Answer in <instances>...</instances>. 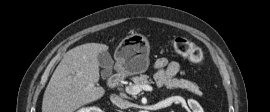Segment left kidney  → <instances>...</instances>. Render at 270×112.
Returning <instances> with one entry per match:
<instances>
[{
  "label": "left kidney",
  "mask_w": 270,
  "mask_h": 112,
  "mask_svg": "<svg viewBox=\"0 0 270 112\" xmlns=\"http://www.w3.org/2000/svg\"><path fill=\"white\" fill-rule=\"evenodd\" d=\"M194 104L193 112H204L201 106L196 101H191Z\"/></svg>",
  "instance_id": "obj_1"
}]
</instances>
